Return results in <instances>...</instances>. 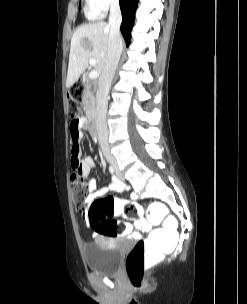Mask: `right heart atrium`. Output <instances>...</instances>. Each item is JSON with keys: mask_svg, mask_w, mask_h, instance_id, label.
<instances>
[{"mask_svg": "<svg viewBox=\"0 0 247 304\" xmlns=\"http://www.w3.org/2000/svg\"><path fill=\"white\" fill-rule=\"evenodd\" d=\"M96 8L101 12L105 13L113 6L117 5L119 0H92Z\"/></svg>", "mask_w": 247, "mask_h": 304, "instance_id": "obj_1", "label": "right heart atrium"}]
</instances>
